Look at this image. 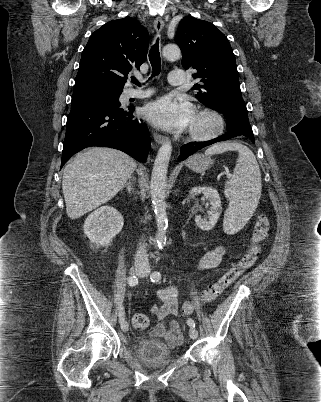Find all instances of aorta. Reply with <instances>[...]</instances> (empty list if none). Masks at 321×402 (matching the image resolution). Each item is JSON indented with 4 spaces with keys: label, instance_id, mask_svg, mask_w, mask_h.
<instances>
[{
    "label": "aorta",
    "instance_id": "aorta-1",
    "mask_svg": "<svg viewBox=\"0 0 321 402\" xmlns=\"http://www.w3.org/2000/svg\"><path fill=\"white\" fill-rule=\"evenodd\" d=\"M162 54L168 60H175L180 57L181 51L176 45H166L162 50ZM171 152L172 145L171 142L167 140L158 150L150 182L152 206L157 223L156 241L159 244L165 243L168 226L165 197L167 188V170Z\"/></svg>",
    "mask_w": 321,
    "mask_h": 402
}]
</instances>
